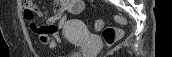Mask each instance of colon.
<instances>
[{
    "mask_svg": "<svg viewBox=\"0 0 172 57\" xmlns=\"http://www.w3.org/2000/svg\"><path fill=\"white\" fill-rule=\"evenodd\" d=\"M26 15L33 17L37 13V9L33 7H26ZM94 29L102 32L103 39L108 46H112L121 36L120 31L113 26L104 27L101 20H96L94 22Z\"/></svg>",
    "mask_w": 172,
    "mask_h": 57,
    "instance_id": "colon-1",
    "label": "colon"
}]
</instances>
